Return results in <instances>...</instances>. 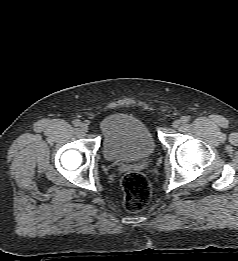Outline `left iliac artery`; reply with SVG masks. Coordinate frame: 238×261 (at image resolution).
<instances>
[{
	"instance_id": "44dca946",
	"label": "left iliac artery",
	"mask_w": 238,
	"mask_h": 261,
	"mask_svg": "<svg viewBox=\"0 0 238 261\" xmlns=\"http://www.w3.org/2000/svg\"><path fill=\"white\" fill-rule=\"evenodd\" d=\"M190 120L189 116H183L181 117V122L182 123H187Z\"/></svg>"
}]
</instances>
